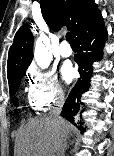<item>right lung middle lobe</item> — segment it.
<instances>
[{"label": "right lung middle lobe", "mask_w": 114, "mask_h": 156, "mask_svg": "<svg viewBox=\"0 0 114 156\" xmlns=\"http://www.w3.org/2000/svg\"><path fill=\"white\" fill-rule=\"evenodd\" d=\"M24 74L21 75H17L11 79L8 80L9 82V91H10V95H14L16 93V91L18 90L19 84H20V80L23 77ZM13 103L15 106H18V101L17 98H15L13 100Z\"/></svg>", "instance_id": "1"}]
</instances>
